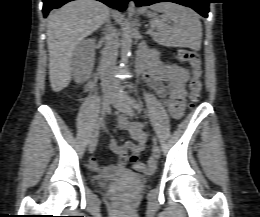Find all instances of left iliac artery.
Here are the masks:
<instances>
[{
  "mask_svg": "<svg viewBox=\"0 0 260 217\" xmlns=\"http://www.w3.org/2000/svg\"><path fill=\"white\" fill-rule=\"evenodd\" d=\"M131 105L139 112L142 113L143 108L140 103H138L134 98H129ZM146 123V122H145ZM152 141L157 144V138L153 135Z\"/></svg>",
  "mask_w": 260,
  "mask_h": 217,
  "instance_id": "obj_1",
  "label": "left iliac artery"
}]
</instances>
